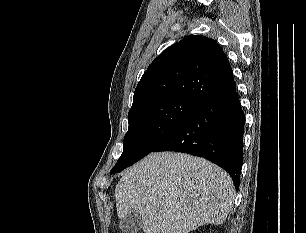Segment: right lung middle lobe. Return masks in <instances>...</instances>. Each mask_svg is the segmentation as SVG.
<instances>
[{
    "label": "right lung middle lobe",
    "instance_id": "1",
    "mask_svg": "<svg viewBox=\"0 0 306 233\" xmlns=\"http://www.w3.org/2000/svg\"><path fill=\"white\" fill-rule=\"evenodd\" d=\"M201 106L190 99L172 97L157 99L130 111L123 153L110 174L129 167L152 152Z\"/></svg>",
    "mask_w": 306,
    "mask_h": 233
}]
</instances>
